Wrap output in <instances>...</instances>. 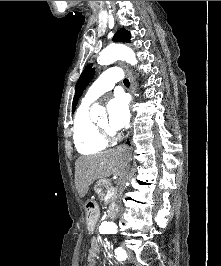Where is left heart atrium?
Returning <instances> with one entry per match:
<instances>
[{
	"label": "left heart atrium",
	"mask_w": 221,
	"mask_h": 266,
	"mask_svg": "<svg viewBox=\"0 0 221 266\" xmlns=\"http://www.w3.org/2000/svg\"><path fill=\"white\" fill-rule=\"evenodd\" d=\"M109 125L114 130H119L127 125L130 114L128 103L124 95H115L107 104Z\"/></svg>",
	"instance_id": "39dd6f15"
}]
</instances>
